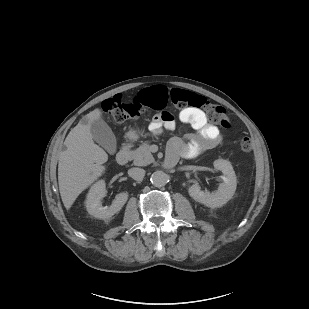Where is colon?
<instances>
[{"mask_svg":"<svg viewBox=\"0 0 309 309\" xmlns=\"http://www.w3.org/2000/svg\"><path fill=\"white\" fill-rule=\"evenodd\" d=\"M171 105L175 108H196L207 112L209 118L223 128L231 126V120L226 110L211 103L201 94L190 92L180 88H167L159 85L140 92L130 101H124L121 95H115L102 103V110L116 122H124L127 119L138 117L147 109L160 112L161 119L167 114L164 110ZM240 149L249 152L252 141L247 136L239 139Z\"/></svg>","mask_w":309,"mask_h":309,"instance_id":"1","label":"colon"}]
</instances>
